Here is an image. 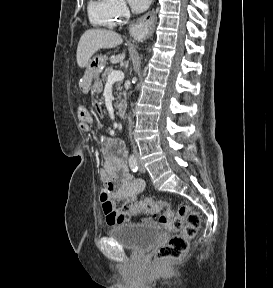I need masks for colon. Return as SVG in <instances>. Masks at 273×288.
<instances>
[{"mask_svg": "<svg viewBox=\"0 0 273 288\" xmlns=\"http://www.w3.org/2000/svg\"><path fill=\"white\" fill-rule=\"evenodd\" d=\"M96 110H100L98 105ZM129 210L156 215L163 226L176 232L157 250L155 258L158 262L182 258L200 226L199 214L186 204L173 211L166 200L144 199L129 206Z\"/></svg>", "mask_w": 273, "mask_h": 288, "instance_id": "5ec220e1", "label": "colon"}]
</instances>
